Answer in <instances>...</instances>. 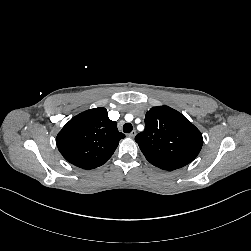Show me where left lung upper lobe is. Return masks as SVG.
<instances>
[{
    "instance_id": "obj_1",
    "label": "left lung upper lobe",
    "mask_w": 251,
    "mask_h": 251,
    "mask_svg": "<svg viewBox=\"0 0 251 251\" xmlns=\"http://www.w3.org/2000/svg\"><path fill=\"white\" fill-rule=\"evenodd\" d=\"M145 126L135 141L146 159L160 169L181 168L192 162L202 148L201 132L168 106L152 107L146 113Z\"/></svg>"
}]
</instances>
